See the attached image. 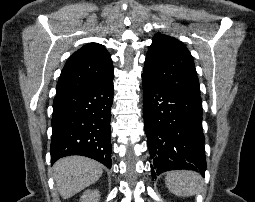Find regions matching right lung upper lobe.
<instances>
[{
	"instance_id": "cb5924a9",
	"label": "right lung upper lobe",
	"mask_w": 255,
	"mask_h": 202,
	"mask_svg": "<svg viewBox=\"0 0 255 202\" xmlns=\"http://www.w3.org/2000/svg\"><path fill=\"white\" fill-rule=\"evenodd\" d=\"M114 69L108 51L98 43H88L66 62L59 81L56 94L93 88L111 81Z\"/></svg>"
}]
</instances>
